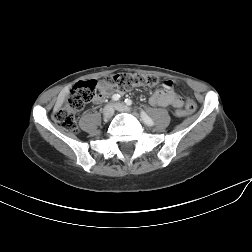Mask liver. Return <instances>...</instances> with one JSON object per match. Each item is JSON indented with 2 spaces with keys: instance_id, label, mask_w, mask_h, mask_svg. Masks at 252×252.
Wrapping results in <instances>:
<instances>
[{
  "instance_id": "liver-1",
  "label": "liver",
  "mask_w": 252,
  "mask_h": 252,
  "mask_svg": "<svg viewBox=\"0 0 252 252\" xmlns=\"http://www.w3.org/2000/svg\"><path fill=\"white\" fill-rule=\"evenodd\" d=\"M68 94H69V87H65L64 89L61 90V92L59 93L57 97V101L54 107L55 111H57L62 106Z\"/></svg>"
}]
</instances>
